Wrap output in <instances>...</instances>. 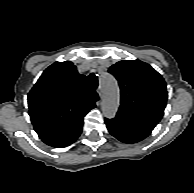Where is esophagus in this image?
Returning <instances> with one entry per match:
<instances>
[{
	"label": "esophagus",
	"instance_id": "1",
	"mask_svg": "<svg viewBox=\"0 0 194 193\" xmlns=\"http://www.w3.org/2000/svg\"><path fill=\"white\" fill-rule=\"evenodd\" d=\"M97 93H98L99 97L102 98V87L101 86L98 87Z\"/></svg>",
	"mask_w": 194,
	"mask_h": 193
}]
</instances>
